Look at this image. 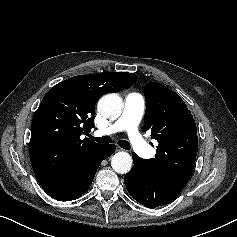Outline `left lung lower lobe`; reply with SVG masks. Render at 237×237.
Here are the masks:
<instances>
[{
    "label": "left lung lower lobe",
    "instance_id": "1",
    "mask_svg": "<svg viewBox=\"0 0 237 237\" xmlns=\"http://www.w3.org/2000/svg\"><path fill=\"white\" fill-rule=\"evenodd\" d=\"M134 166L124 175L128 193L139 203L149 208L172 202L189 179L162 176L148 166L145 159L132 154Z\"/></svg>",
    "mask_w": 237,
    "mask_h": 237
}]
</instances>
